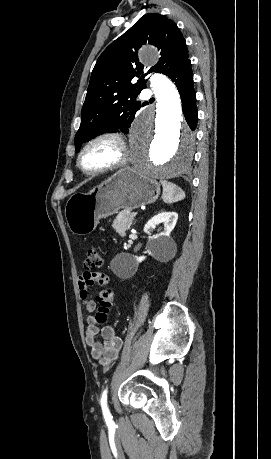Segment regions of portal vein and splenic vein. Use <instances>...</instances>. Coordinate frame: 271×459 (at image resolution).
Returning <instances> with one entry per match:
<instances>
[{"label": "portal vein and splenic vein", "instance_id": "portal-vein-and-splenic-vein-1", "mask_svg": "<svg viewBox=\"0 0 271 459\" xmlns=\"http://www.w3.org/2000/svg\"><path fill=\"white\" fill-rule=\"evenodd\" d=\"M129 216L130 217H137V214H136V212H132Z\"/></svg>", "mask_w": 271, "mask_h": 459}]
</instances>
